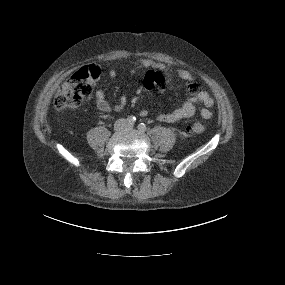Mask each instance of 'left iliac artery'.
<instances>
[{
	"mask_svg": "<svg viewBox=\"0 0 285 285\" xmlns=\"http://www.w3.org/2000/svg\"><path fill=\"white\" fill-rule=\"evenodd\" d=\"M138 129H139L140 131L144 132V131L146 130V125H145L144 123H140V124L138 125Z\"/></svg>",
	"mask_w": 285,
	"mask_h": 285,
	"instance_id": "1",
	"label": "left iliac artery"
}]
</instances>
